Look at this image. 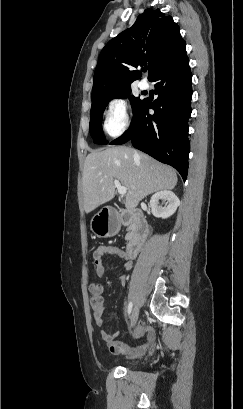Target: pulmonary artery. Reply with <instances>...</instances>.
Here are the masks:
<instances>
[{
	"label": "pulmonary artery",
	"mask_w": 243,
	"mask_h": 409,
	"mask_svg": "<svg viewBox=\"0 0 243 409\" xmlns=\"http://www.w3.org/2000/svg\"><path fill=\"white\" fill-rule=\"evenodd\" d=\"M138 86H139V88H140L141 90H146V89H148L149 84H148L147 81L141 80V81L138 83Z\"/></svg>",
	"instance_id": "pulmonary-artery-1"
}]
</instances>
